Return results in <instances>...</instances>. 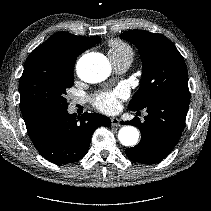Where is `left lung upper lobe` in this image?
<instances>
[{
  "label": "left lung upper lobe",
  "instance_id": "5c2ea615",
  "mask_svg": "<svg viewBox=\"0 0 211 211\" xmlns=\"http://www.w3.org/2000/svg\"><path fill=\"white\" fill-rule=\"evenodd\" d=\"M120 37L138 48L143 64L141 87L129 103L130 110H141L167 94L189 93L184 59L169 39L145 30L126 31Z\"/></svg>",
  "mask_w": 211,
  "mask_h": 211
}]
</instances>
